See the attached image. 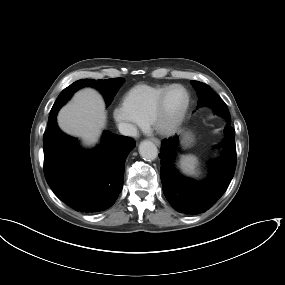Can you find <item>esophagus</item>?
<instances>
[{
  "instance_id": "34e87169",
  "label": "esophagus",
  "mask_w": 285,
  "mask_h": 285,
  "mask_svg": "<svg viewBox=\"0 0 285 285\" xmlns=\"http://www.w3.org/2000/svg\"><path fill=\"white\" fill-rule=\"evenodd\" d=\"M151 140L157 145V146H160L161 145V142L159 139L157 138H151Z\"/></svg>"
}]
</instances>
